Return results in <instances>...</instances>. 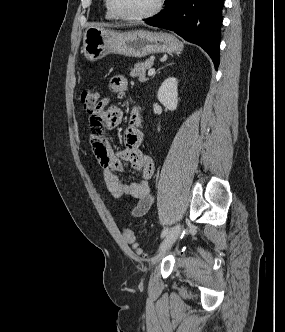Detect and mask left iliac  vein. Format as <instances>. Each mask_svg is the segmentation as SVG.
<instances>
[{
  "instance_id": "4c4485c4",
  "label": "left iliac vein",
  "mask_w": 285,
  "mask_h": 332,
  "mask_svg": "<svg viewBox=\"0 0 285 332\" xmlns=\"http://www.w3.org/2000/svg\"><path fill=\"white\" fill-rule=\"evenodd\" d=\"M180 230H181L180 224H176L173 228H171V230L168 232V234L160 244L159 253L157 256L153 258L154 262L157 261L160 258V256L174 244L180 233Z\"/></svg>"
}]
</instances>
